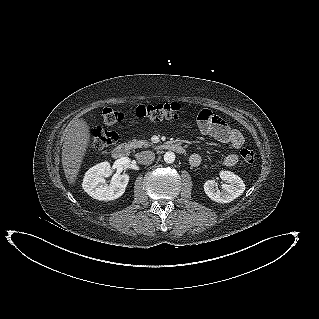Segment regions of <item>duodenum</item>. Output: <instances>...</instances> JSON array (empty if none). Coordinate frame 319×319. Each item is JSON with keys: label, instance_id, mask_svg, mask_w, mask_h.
<instances>
[{"label": "duodenum", "instance_id": "1", "mask_svg": "<svg viewBox=\"0 0 319 319\" xmlns=\"http://www.w3.org/2000/svg\"><path fill=\"white\" fill-rule=\"evenodd\" d=\"M159 148L163 150L173 151L176 153L185 152L184 148L180 144L175 142H165L161 144ZM129 150H130V147L127 143H121L117 145L116 147H114V149L112 150V156L116 160L125 158L128 156Z\"/></svg>", "mask_w": 319, "mask_h": 319}]
</instances>
